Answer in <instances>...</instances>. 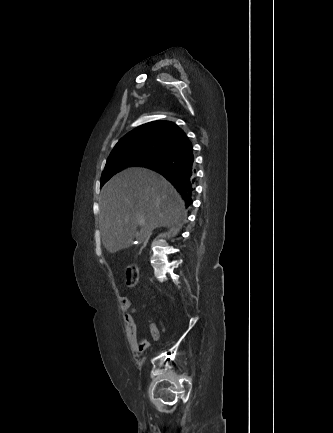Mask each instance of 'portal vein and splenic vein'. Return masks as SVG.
Segmentation results:
<instances>
[{
	"label": "portal vein and splenic vein",
	"instance_id": "portal-vein-and-splenic-vein-1",
	"mask_svg": "<svg viewBox=\"0 0 333 433\" xmlns=\"http://www.w3.org/2000/svg\"><path fill=\"white\" fill-rule=\"evenodd\" d=\"M144 223V220H140V224H143Z\"/></svg>",
	"mask_w": 333,
	"mask_h": 433
}]
</instances>
